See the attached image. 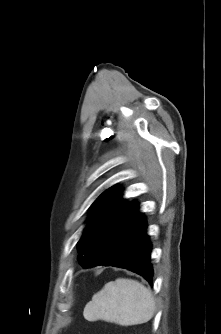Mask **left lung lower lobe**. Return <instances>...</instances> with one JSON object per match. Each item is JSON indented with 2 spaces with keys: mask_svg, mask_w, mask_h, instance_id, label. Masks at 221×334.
Listing matches in <instances>:
<instances>
[{
  "mask_svg": "<svg viewBox=\"0 0 221 334\" xmlns=\"http://www.w3.org/2000/svg\"><path fill=\"white\" fill-rule=\"evenodd\" d=\"M146 227L136 202L127 204L100 238L93 253L94 261L86 268L98 265L126 268L143 276L153 286L151 243Z\"/></svg>",
  "mask_w": 221,
  "mask_h": 334,
  "instance_id": "left-lung-lower-lobe-1",
  "label": "left lung lower lobe"
}]
</instances>
